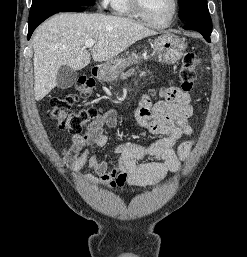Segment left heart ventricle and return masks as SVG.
Listing matches in <instances>:
<instances>
[{"label": "left heart ventricle", "mask_w": 247, "mask_h": 257, "mask_svg": "<svg viewBox=\"0 0 247 257\" xmlns=\"http://www.w3.org/2000/svg\"><path fill=\"white\" fill-rule=\"evenodd\" d=\"M147 17L158 24L166 23L173 12V0H142Z\"/></svg>", "instance_id": "left-heart-ventricle-1"}]
</instances>
